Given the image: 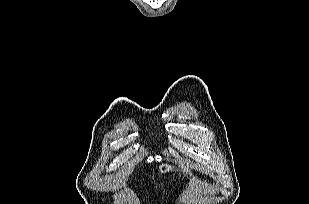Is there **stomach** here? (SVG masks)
Wrapping results in <instances>:
<instances>
[{
    "label": "stomach",
    "instance_id": "1",
    "mask_svg": "<svg viewBox=\"0 0 309 204\" xmlns=\"http://www.w3.org/2000/svg\"><path fill=\"white\" fill-rule=\"evenodd\" d=\"M158 170H159V172H160L161 174H167V173H169V172H171V171H174V170H175V167L172 166V165H170V164H168V163H164V164H161V165L159 166Z\"/></svg>",
    "mask_w": 309,
    "mask_h": 204
}]
</instances>
